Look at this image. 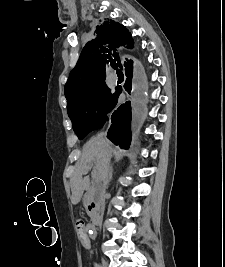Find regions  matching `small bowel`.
Wrapping results in <instances>:
<instances>
[{"instance_id":"c3829d8e","label":"small bowel","mask_w":225,"mask_h":267,"mask_svg":"<svg viewBox=\"0 0 225 267\" xmlns=\"http://www.w3.org/2000/svg\"><path fill=\"white\" fill-rule=\"evenodd\" d=\"M92 229V226L87 225V227L85 228V235L81 236L80 234H78V238L80 240V242L87 247L88 249L90 248L89 245V241H90V235H89V231Z\"/></svg>"}]
</instances>
